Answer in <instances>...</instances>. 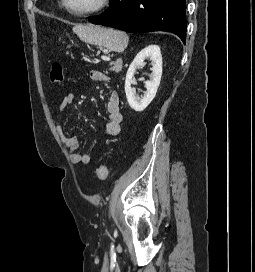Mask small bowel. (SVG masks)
<instances>
[{
    "mask_svg": "<svg viewBox=\"0 0 255 272\" xmlns=\"http://www.w3.org/2000/svg\"><path fill=\"white\" fill-rule=\"evenodd\" d=\"M89 75L93 81H97V82L110 81V77L106 73L98 71V70H92ZM74 98H75L74 93L72 92L66 93L60 101L59 111L62 112L68 106H70L72 102L74 101ZM119 105H120L119 94L116 91H112L108 96V100L106 104L108 121L105 127L101 130V135L103 137H106V138L113 137L120 132L121 123H122V115L120 112ZM57 131L61 140L66 145L70 153L72 161L77 164L88 165L91 162V157L87 153L78 151V148H79L78 139L76 137L67 136L63 132V129L60 124L57 125Z\"/></svg>",
    "mask_w": 255,
    "mask_h": 272,
    "instance_id": "1",
    "label": "small bowel"
}]
</instances>
